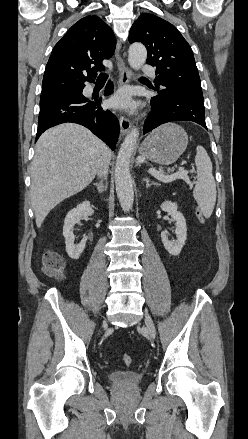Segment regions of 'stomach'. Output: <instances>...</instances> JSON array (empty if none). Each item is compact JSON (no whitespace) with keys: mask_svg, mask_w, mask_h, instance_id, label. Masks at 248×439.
I'll return each instance as SVG.
<instances>
[{"mask_svg":"<svg viewBox=\"0 0 248 439\" xmlns=\"http://www.w3.org/2000/svg\"><path fill=\"white\" fill-rule=\"evenodd\" d=\"M187 145L186 131L175 123H167L152 131L145 138L139 148V153L155 163L170 165L177 161Z\"/></svg>","mask_w":248,"mask_h":439,"instance_id":"obj_1","label":"stomach"}]
</instances>
